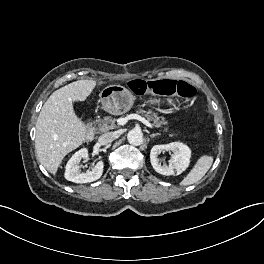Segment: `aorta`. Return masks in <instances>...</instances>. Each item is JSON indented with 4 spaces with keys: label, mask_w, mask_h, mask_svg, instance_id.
I'll return each instance as SVG.
<instances>
[{
    "label": "aorta",
    "mask_w": 264,
    "mask_h": 264,
    "mask_svg": "<svg viewBox=\"0 0 264 264\" xmlns=\"http://www.w3.org/2000/svg\"><path fill=\"white\" fill-rule=\"evenodd\" d=\"M127 140L130 144L138 146L143 142V134L139 129H133L128 132Z\"/></svg>",
    "instance_id": "aorta-1"
}]
</instances>
